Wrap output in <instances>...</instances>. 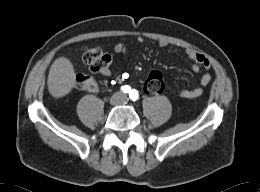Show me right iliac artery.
<instances>
[{
    "label": "right iliac artery",
    "mask_w": 260,
    "mask_h": 192,
    "mask_svg": "<svg viewBox=\"0 0 260 192\" xmlns=\"http://www.w3.org/2000/svg\"><path fill=\"white\" fill-rule=\"evenodd\" d=\"M122 92L124 93H129L130 92V87L128 85H124L121 87Z\"/></svg>",
    "instance_id": "right-iliac-artery-1"
}]
</instances>
